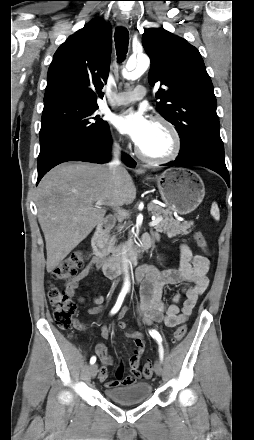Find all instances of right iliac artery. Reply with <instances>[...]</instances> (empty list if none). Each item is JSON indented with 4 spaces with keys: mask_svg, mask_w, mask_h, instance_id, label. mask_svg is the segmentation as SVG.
Here are the masks:
<instances>
[{
    "mask_svg": "<svg viewBox=\"0 0 254 440\" xmlns=\"http://www.w3.org/2000/svg\"><path fill=\"white\" fill-rule=\"evenodd\" d=\"M126 293L125 292H121L118 296L117 302L115 304V306L113 307V309L111 310V314H115L121 307L124 297H125ZM96 362V357L93 356L90 359V363L94 364Z\"/></svg>",
    "mask_w": 254,
    "mask_h": 440,
    "instance_id": "82829eb1",
    "label": "right iliac artery"
}]
</instances>
